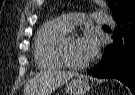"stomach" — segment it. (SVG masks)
Returning <instances> with one entry per match:
<instances>
[{
    "instance_id": "1",
    "label": "stomach",
    "mask_w": 135,
    "mask_h": 95,
    "mask_svg": "<svg viewBox=\"0 0 135 95\" xmlns=\"http://www.w3.org/2000/svg\"><path fill=\"white\" fill-rule=\"evenodd\" d=\"M89 89V82L83 77L73 79L66 85V92L69 95H85Z\"/></svg>"
}]
</instances>
